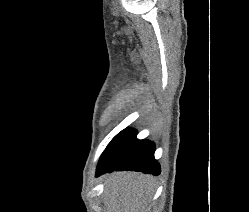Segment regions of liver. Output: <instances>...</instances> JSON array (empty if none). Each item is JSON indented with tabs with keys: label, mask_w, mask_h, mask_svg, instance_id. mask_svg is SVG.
Returning <instances> with one entry per match:
<instances>
[{
	"label": "liver",
	"mask_w": 249,
	"mask_h": 212,
	"mask_svg": "<svg viewBox=\"0 0 249 212\" xmlns=\"http://www.w3.org/2000/svg\"><path fill=\"white\" fill-rule=\"evenodd\" d=\"M103 204L108 212H151L154 178L141 172L104 174Z\"/></svg>",
	"instance_id": "obj_1"
}]
</instances>
